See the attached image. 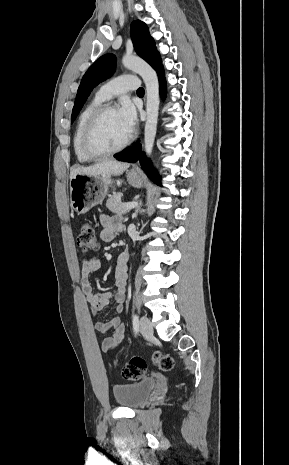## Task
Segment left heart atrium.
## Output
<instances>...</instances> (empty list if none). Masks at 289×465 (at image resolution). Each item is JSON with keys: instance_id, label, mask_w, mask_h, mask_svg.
Listing matches in <instances>:
<instances>
[{"instance_id": "obj_1", "label": "left heart atrium", "mask_w": 289, "mask_h": 465, "mask_svg": "<svg viewBox=\"0 0 289 465\" xmlns=\"http://www.w3.org/2000/svg\"><path fill=\"white\" fill-rule=\"evenodd\" d=\"M116 111L124 130L130 136L137 124L136 108L129 100H124Z\"/></svg>"}]
</instances>
